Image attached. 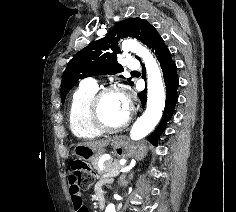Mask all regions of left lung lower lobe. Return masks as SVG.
<instances>
[{
    "label": "left lung lower lobe",
    "mask_w": 236,
    "mask_h": 212,
    "mask_svg": "<svg viewBox=\"0 0 236 212\" xmlns=\"http://www.w3.org/2000/svg\"><path fill=\"white\" fill-rule=\"evenodd\" d=\"M147 46L151 48L152 51L157 55V59L159 60L163 71V77L166 86V102L162 120L156 131L148 137V140L156 145L161 133L165 129L167 121L173 115L174 107L178 100L177 89L179 86V79L177 76V67L175 62L172 60L171 53L155 28L151 30L148 36ZM139 97L141 99L142 105H145L146 90L142 91L139 94Z\"/></svg>",
    "instance_id": "obj_1"
}]
</instances>
